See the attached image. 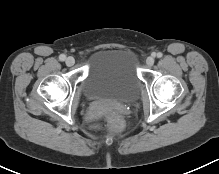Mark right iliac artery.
I'll list each match as a JSON object with an SVG mask.
<instances>
[{"label": "right iliac artery", "instance_id": "right-iliac-artery-1", "mask_svg": "<svg viewBox=\"0 0 219 174\" xmlns=\"http://www.w3.org/2000/svg\"><path fill=\"white\" fill-rule=\"evenodd\" d=\"M59 59H60L61 61H64V60L66 59V56H65L64 54H61V55L59 56Z\"/></svg>", "mask_w": 219, "mask_h": 174}]
</instances>
